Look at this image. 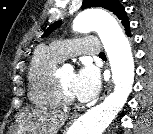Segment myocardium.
<instances>
[{
  "instance_id": "myocardium-1",
  "label": "myocardium",
  "mask_w": 153,
  "mask_h": 134,
  "mask_svg": "<svg viewBox=\"0 0 153 134\" xmlns=\"http://www.w3.org/2000/svg\"><path fill=\"white\" fill-rule=\"evenodd\" d=\"M55 85H56L58 95L63 103L70 104L74 102V98L67 94L62 83L57 77L55 78Z\"/></svg>"
}]
</instances>
